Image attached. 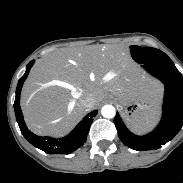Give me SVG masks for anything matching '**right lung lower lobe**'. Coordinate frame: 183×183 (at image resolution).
Returning a JSON list of instances; mask_svg holds the SVG:
<instances>
[{
  "mask_svg": "<svg viewBox=\"0 0 183 183\" xmlns=\"http://www.w3.org/2000/svg\"><path fill=\"white\" fill-rule=\"evenodd\" d=\"M34 60L30 61L26 67L25 74L19 79L16 88V97L14 102V110L16 119L23 136L35 147L44 151L47 154H69L80 146H82L87 139V134L90 125L93 122V117L97 115V111L89 113L67 136L62 138L41 137L33 134L25 125L22 111L20 108V93L25 79L34 64Z\"/></svg>",
  "mask_w": 183,
  "mask_h": 183,
  "instance_id": "obj_1",
  "label": "right lung lower lobe"
}]
</instances>
